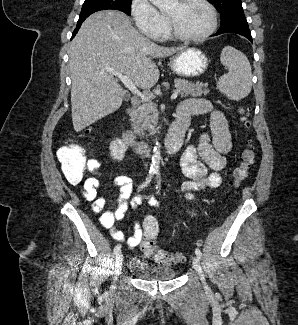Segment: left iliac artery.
Wrapping results in <instances>:
<instances>
[{
  "mask_svg": "<svg viewBox=\"0 0 298 325\" xmlns=\"http://www.w3.org/2000/svg\"><path fill=\"white\" fill-rule=\"evenodd\" d=\"M157 178H158V180H157V193H160L161 180H160V174H159V173H157ZM195 253H196V256H197L199 259H201V257H202V253H201V251H200L199 248H197V249L195 250Z\"/></svg>",
  "mask_w": 298,
  "mask_h": 325,
  "instance_id": "44dca946",
  "label": "left iliac artery"
}]
</instances>
